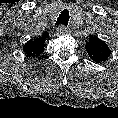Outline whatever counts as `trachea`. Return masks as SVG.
<instances>
[{
	"mask_svg": "<svg viewBox=\"0 0 118 118\" xmlns=\"http://www.w3.org/2000/svg\"><path fill=\"white\" fill-rule=\"evenodd\" d=\"M69 10L67 9H64L59 17L57 18V21H56V26L58 25H63L64 27H66L68 25V21H69Z\"/></svg>",
	"mask_w": 118,
	"mask_h": 118,
	"instance_id": "obj_1",
	"label": "trachea"
}]
</instances>
